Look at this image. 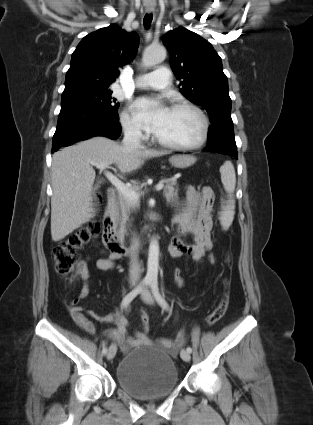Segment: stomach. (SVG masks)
I'll list each match as a JSON object with an SVG mask.
<instances>
[{
    "instance_id": "obj_1",
    "label": "stomach",
    "mask_w": 313,
    "mask_h": 425,
    "mask_svg": "<svg viewBox=\"0 0 313 425\" xmlns=\"http://www.w3.org/2000/svg\"><path fill=\"white\" fill-rule=\"evenodd\" d=\"M169 162L175 168L185 169L190 167L196 162V157L192 155H186V154L173 155L172 157H170Z\"/></svg>"
}]
</instances>
